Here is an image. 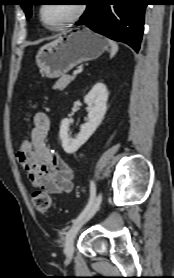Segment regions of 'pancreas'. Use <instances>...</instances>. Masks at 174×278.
<instances>
[{
	"label": "pancreas",
	"instance_id": "obj_1",
	"mask_svg": "<svg viewBox=\"0 0 174 278\" xmlns=\"http://www.w3.org/2000/svg\"><path fill=\"white\" fill-rule=\"evenodd\" d=\"M75 79V76L71 75H63L58 79V81L54 84L53 89L55 90H64L66 86Z\"/></svg>",
	"mask_w": 174,
	"mask_h": 278
}]
</instances>
